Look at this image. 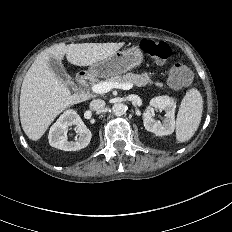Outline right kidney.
<instances>
[{"label": "right kidney", "mask_w": 232, "mask_h": 232, "mask_svg": "<svg viewBox=\"0 0 232 232\" xmlns=\"http://www.w3.org/2000/svg\"><path fill=\"white\" fill-rule=\"evenodd\" d=\"M72 125H76L79 138L75 141H68L63 134ZM92 134L74 110L65 111L59 119L51 126L48 139L52 147L64 151H77L85 148L90 143Z\"/></svg>", "instance_id": "1"}]
</instances>
